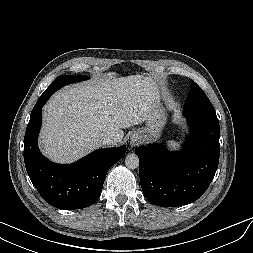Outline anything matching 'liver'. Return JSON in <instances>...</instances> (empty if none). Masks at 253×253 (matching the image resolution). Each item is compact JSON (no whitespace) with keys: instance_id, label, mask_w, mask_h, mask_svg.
<instances>
[{"instance_id":"6515ba94","label":"liver","mask_w":253,"mask_h":253,"mask_svg":"<svg viewBox=\"0 0 253 253\" xmlns=\"http://www.w3.org/2000/svg\"><path fill=\"white\" fill-rule=\"evenodd\" d=\"M151 77H102L56 92L43 108L39 137L42 153L57 163H72L104 144L101 134L124 136L122 128L147 121L158 99Z\"/></svg>"}]
</instances>
